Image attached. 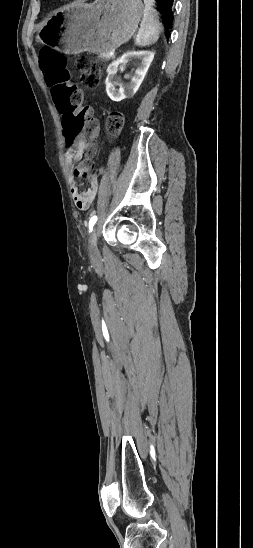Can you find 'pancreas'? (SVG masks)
I'll list each match as a JSON object with an SVG mask.
<instances>
[{
	"label": "pancreas",
	"mask_w": 253,
	"mask_h": 548,
	"mask_svg": "<svg viewBox=\"0 0 253 548\" xmlns=\"http://www.w3.org/2000/svg\"><path fill=\"white\" fill-rule=\"evenodd\" d=\"M99 57L103 60H110L113 58L110 53L100 54Z\"/></svg>",
	"instance_id": "cf45deb5"
}]
</instances>
